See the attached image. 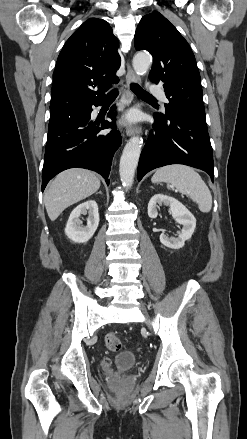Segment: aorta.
Returning <instances> with one entry per match:
<instances>
[{
  "mask_svg": "<svg viewBox=\"0 0 247 439\" xmlns=\"http://www.w3.org/2000/svg\"><path fill=\"white\" fill-rule=\"evenodd\" d=\"M152 57L147 53H137L133 58V68L137 75H144L149 70ZM142 148V139L132 137L123 149L120 158L119 172L123 187L130 188L134 182L135 170L138 165Z\"/></svg>",
  "mask_w": 247,
  "mask_h": 439,
  "instance_id": "1",
  "label": "aorta"
}]
</instances>
